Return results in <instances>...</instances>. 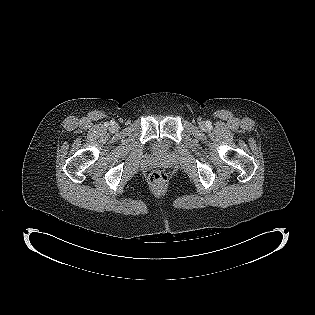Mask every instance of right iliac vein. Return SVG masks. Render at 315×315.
Returning <instances> with one entry per match:
<instances>
[{"label": "right iliac vein", "instance_id": "1", "mask_svg": "<svg viewBox=\"0 0 315 315\" xmlns=\"http://www.w3.org/2000/svg\"><path fill=\"white\" fill-rule=\"evenodd\" d=\"M113 128L116 129V128H117V125H114Z\"/></svg>", "mask_w": 315, "mask_h": 315}]
</instances>
